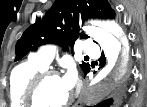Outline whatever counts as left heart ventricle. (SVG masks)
Here are the masks:
<instances>
[{"label":"left heart ventricle","mask_w":147,"mask_h":107,"mask_svg":"<svg viewBox=\"0 0 147 107\" xmlns=\"http://www.w3.org/2000/svg\"><path fill=\"white\" fill-rule=\"evenodd\" d=\"M70 96L60 77L47 79L38 94V99L42 105L57 106L65 102Z\"/></svg>","instance_id":"obj_1"}]
</instances>
